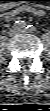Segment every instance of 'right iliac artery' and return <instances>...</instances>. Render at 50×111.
I'll return each instance as SVG.
<instances>
[{
  "mask_svg": "<svg viewBox=\"0 0 50 111\" xmlns=\"http://www.w3.org/2000/svg\"><path fill=\"white\" fill-rule=\"evenodd\" d=\"M14 26L18 29H24L27 28V24L24 21H16Z\"/></svg>",
  "mask_w": 50,
  "mask_h": 111,
  "instance_id": "right-iliac-artery-1",
  "label": "right iliac artery"
}]
</instances>
